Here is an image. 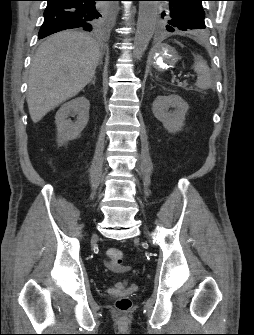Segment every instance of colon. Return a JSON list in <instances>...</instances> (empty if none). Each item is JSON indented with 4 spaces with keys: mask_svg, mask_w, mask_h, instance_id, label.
<instances>
[{
    "mask_svg": "<svg viewBox=\"0 0 254 335\" xmlns=\"http://www.w3.org/2000/svg\"><path fill=\"white\" fill-rule=\"evenodd\" d=\"M107 257L109 259V265L113 269H118L124 262V254L122 251L111 248L107 251ZM116 308L120 312H127L131 308V301L127 297L119 298L116 301Z\"/></svg>",
    "mask_w": 254,
    "mask_h": 335,
    "instance_id": "colon-1",
    "label": "colon"
}]
</instances>
